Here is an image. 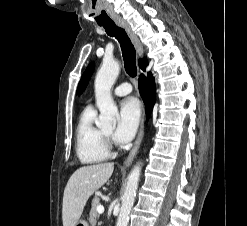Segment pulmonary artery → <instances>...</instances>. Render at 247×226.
<instances>
[{"instance_id": "1", "label": "pulmonary artery", "mask_w": 247, "mask_h": 226, "mask_svg": "<svg viewBox=\"0 0 247 226\" xmlns=\"http://www.w3.org/2000/svg\"><path fill=\"white\" fill-rule=\"evenodd\" d=\"M132 91V86L128 82L121 83L114 89V95L125 96Z\"/></svg>"}]
</instances>
